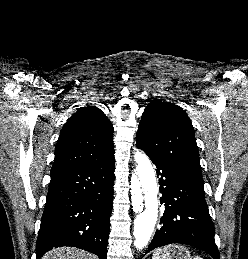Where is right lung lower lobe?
<instances>
[{
    "mask_svg": "<svg viewBox=\"0 0 248 259\" xmlns=\"http://www.w3.org/2000/svg\"><path fill=\"white\" fill-rule=\"evenodd\" d=\"M114 162L113 153L96 163L51 172L37 259L59 246H74L106 259Z\"/></svg>",
    "mask_w": 248,
    "mask_h": 259,
    "instance_id": "98d812e1",
    "label": "right lung lower lobe"
}]
</instances>
